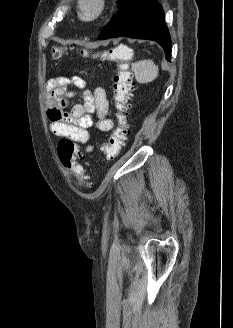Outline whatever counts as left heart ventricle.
<instances>
[{
    "instance_id": "left-heart-ventricle-1",
    "label": "left heart ventricle",
    "mask_w": 233,
    "mask_h": 328,
    "mask_svg": "<svg viewBox=\"0 0 233 328\" xmlns=\"http://www.w3.org/2000/svg\"><path fill=\"white\" fill-rule=\"evenodd\" d=\"M93 8H94L93 4L89 3L87 5V12L90 13L93 10Z\"/></svg>"
}]
</instances>
